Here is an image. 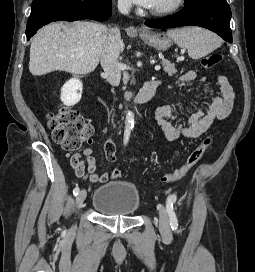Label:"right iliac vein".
Returning a JSON list of instances; mask_svg holds the SVG:
<instances>
[{
	"label": "right iliac vein",
	"mask_w": 255,
	"mask_h": 272,
	"mask_svg": "<svg viewBox=\"0 0 255 272\" xmlns=\"http://www.w3.org/2000/svg\"><path fill=\"white\" fill-rule=\"evenodd\" d=\"M87 196L86 190H81L76 197V207L80 208L83 205Z\"/></svg>",
	"instance_id": "obj_1"
}]
</instances>
